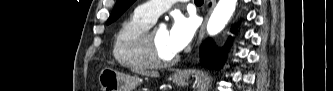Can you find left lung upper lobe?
Wrapping results in <instances>:
<instances>
[{"label":"left lung upper lobe","instance_id":"1","mask_svg":"<svg viewBox=\"0 0 333 91\" xmlns=\"http://www.w3.org/2000/svg\"><path fill=\"white\" fill-rule=\"evenodd\" d=\"M134 1L135 0H117L107 24H111L117 20Z\"/></svg>","mask_w":333,"mask_h":91}]
</instances>
